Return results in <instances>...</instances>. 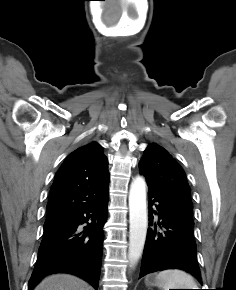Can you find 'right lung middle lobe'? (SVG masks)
Here are the masks:
<instances>
[{
  "label": "right lung middle lobe",
  "instance_id": "1",
  "mask_svg": "<svg viewBox=\"0 0 236 290\" xmlns=\"http://www.w3.org/2000/svg\"><path fill=\"white\" fill-rule=\"evenodd\" d=\"M58 222H60V221L47 220V221H45L44 228H47L49 226H52V225H54V224H56Z\"/></svg>",
  "mask_w": 236,
  "mask_h": 290
}]
</instances>
